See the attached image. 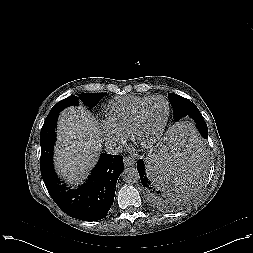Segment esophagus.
Listing matches in <instances>:
<instances>
[{"mask_svg":"<svg viewBox=\"0 0 253 253\" xmlns=\"http://www.w3.org/2000/svg\"><path fill=\"white\" fill-rule=\"evenodd\" d=\"M123 163H124L125 167H130V166H133L135 164V159L133 157L126 156L123 159Z\"/></svg>","mask_w":253,"mask_h":253,"instance_id":"34e87169","label":"esophagus"}]
</instances>
